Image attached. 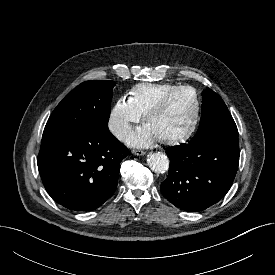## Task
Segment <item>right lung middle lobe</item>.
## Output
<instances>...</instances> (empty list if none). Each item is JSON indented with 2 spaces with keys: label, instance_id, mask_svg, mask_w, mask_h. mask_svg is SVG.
<instances>
[{
  "label": "right lung middle lobe",
  "instance_id": "1",
  "mask_svg": "<svg viewBox=\"0 0 275 275\" xmlns=\"http://www.w3.org/2000/svg\"><path fill=\"white\" fill-rule=\"evenodd\" d=\"M114 86L110 80H92L78 85L55 108L43 136L81 134L107 127Z\"/></svg>",
  "mask_w": 275,
  "mask_h": 275
}]
</instances>
